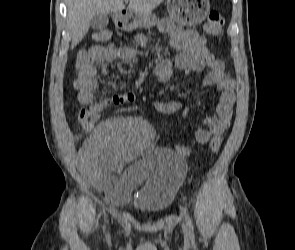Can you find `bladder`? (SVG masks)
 Here are the masks:
<instances>
[{
    "mask_svg": "<svg viewBox=\"0 0 295 250\" xmlns=\"http://www.w3.org/2000/svg\"><path fill=\"white\" fill-rule=\"evenodd\" d=\"M145 161H148L145 166L148 180L137 186L133 206L142 212L156 214L172 203L185 177L186 162L170 149H156Z\"/></svg>",
    "mask_w": 295,
    "mask_h": 250,
    "instance_id": "31cf9c89",
    "label": "bladder"
}]
</instances>
